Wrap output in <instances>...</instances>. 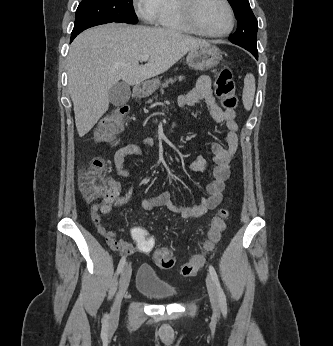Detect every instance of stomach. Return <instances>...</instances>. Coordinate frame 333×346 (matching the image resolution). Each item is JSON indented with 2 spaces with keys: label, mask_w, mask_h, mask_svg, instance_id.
I'll return each mask as SVG.
<instances>
[{
  "label": "stomach",
  "mask_w": 333,
  "mask_h": 346,
  "mask_svg": "<svg viewBox=\"0 0 333 346\" xmlns=\"http://www.w3.org/2000/svg\"><path fill=\"white\" fill-rule=\"evenodd\" d=\"M221 58V51L216 46L207 44L189 51L186 62L192 69L205 71L217 66ZM159 83L158 79L145 81L135 87V95L147 97L158 88Z\"/></svg>",
  "instance_id": "1"
}]
</instances>
